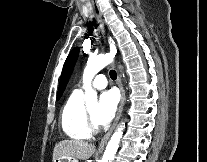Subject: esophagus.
Returning <instances> with one entry per match:
<instances>
[{"instance_id":"obj_1","label":"esophagus","mask_w":207,"mask_h":162,"mask_svg":"<svg viewBox=\"0 0 207 162\" xmlns=\"http://www.w3.org/2000/svg\"><path fill=\"white\" fill-rule=\"evenodd\" d=\"M92 5H93V10H94L97 22L99 24V28L101 30L102 36L105 39L104 22L102 20V16H101L99 7L95 4L94 0H92ZM108 42L110 44V48L111 49H116L115 42H114V40L112 39L111 36L108 37ZM117 84H118V87H119L120 92H121V99H120V103H119V106H118L116 118H115V121H114L111 129L107 132V134L104 136V138L102 139L101 143L99 144V147H98L99 151H102L105 148V145L107 144V142H108L112 132L114 131V129H115V127H116V125H117V123H118V121L120 119L122 110H123L124 101H125V90L123 88V84H122V80H121V75H120L119 71H117Z\"/></svg>"}]
</instances>
